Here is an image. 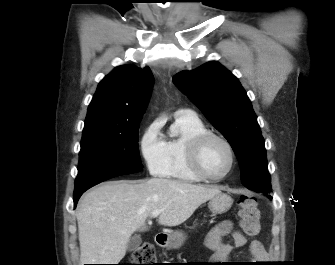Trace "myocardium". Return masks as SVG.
<instances>
[{
  "instance_id": "f54148a6",
  "label": "myocardium",
  "mask_w": 335,
  "mask_h": 265,
  "mask_svg": "<svg viewBox=\"0 0 335 265\" xmlns=\"http://www.w3.org/2000/svg\"><path fill=\"white\" fill-rule=\"evenodd\" d=\"M218 140L221 143H223L230 155V162L227 170L220 176H211L208 173L205 172L201 165V153L206 145L207 142L210 140ZM188 163L191 168V170L202 180L210 181V182H219L223 179H225L233 170L235 161H236V155L235 150L230 143L228 139H226L224 136L207 131L205 133L199 134L196 137H194L188 145Z\"/></svg>"
}]
</instances>
